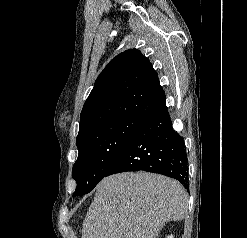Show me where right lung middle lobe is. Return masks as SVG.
<instances>
[{
    "mask_svg": "<svg viewBox=\"0 0 247 238\" xmlns=\"http://www.w3.org/2000/svg\"><path fill=\"white\" fill-rule=\"evenodd\" d=\"M145 120L139 117L116 119L77 138L79 155L72 171L77 182L74 197L89 193L105 177Z\"/></svg>",
    "mask_w": 247,
    "mask_h": 238,
    "instance_id": "1",
    "label": "right lung middle lobe"
}]
</instances>
